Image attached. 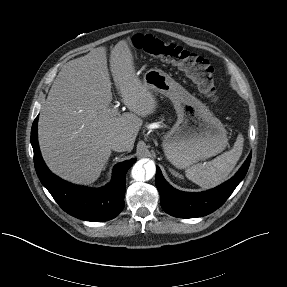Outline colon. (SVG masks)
<instances>
[{
	"instance_id": "5ec220e1",
	"label": "colon",
	"mask_w": 287,
	"mask_h": 287,
	"mask_svg": "<svg viewBox=\"0 0 287 287\" xmlns=\"http://www.w3.org/2000/svg\"><path fill=\"white\" fill-rule=\"evenodd\" d=\"M132 45L150 56L170 62L183 71L211 101L218 99L214 70L210 62L181 46L165 42L151 34H137Z\"/></svg>"
}]
</instances>
